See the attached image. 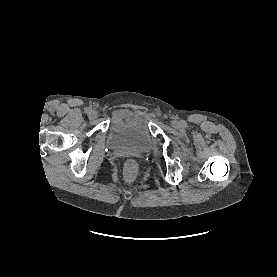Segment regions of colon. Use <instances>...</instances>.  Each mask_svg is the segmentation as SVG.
<instances>
[{
	"label": "colon",
	"mask_w": 277,
	"mask_h": 277,
	"mask_svg": "<svg viewBox=\"0 0 277 277\" xmlns=\"http://www.w3.org/2000/svg\"><path fill=\"white\" fill-rule=\"evenodd\" d=\"M138 173V165L133 160L125 162L123 167V178L126 182L130 183L135 180Z\"/></svg>",
	"instance_id": "obj_1"
}]
</instances>
